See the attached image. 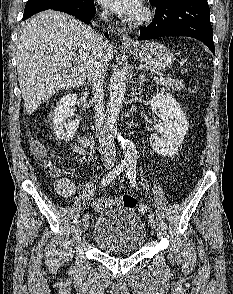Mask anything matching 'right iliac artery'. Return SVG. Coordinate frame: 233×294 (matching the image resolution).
Wrapping results in <instances>:
<instances>
[{
  "label": "right iliac artery",
  "instance_id": "1",
  "mask_svg": "<svg viewBox=\"0 0 233 294\" xmlns=\"http://www.w3.org/2000/svg\"><path fill=\"white\" fill-rule=\"evenodd\" d=\"M128 164L125 161H121L117 164L112 171H110L101 181L102 186H106L110 184L116 176H118L121 172L127 168ZM84 219H89V214L84 215Z\"/></svg>",
  "mask_w": 233,
  "mask_h": 294
}]
</instances>
